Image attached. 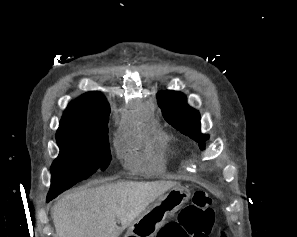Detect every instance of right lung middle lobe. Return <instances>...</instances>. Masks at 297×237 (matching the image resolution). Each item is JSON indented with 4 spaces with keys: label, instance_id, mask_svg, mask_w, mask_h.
Returning <instances> with one entry per match:
<instances>
[{
    "label": "right lung middle lobe",
    "instance_id": "right-lung-middle-lobe-1",
    "mask_svg": "<svg viewBox=\"0 0 297 237\" xmlns=\"http://www.w3.org/2000/svg\"><path fill=\"white\" fill-rule=\"evenodd\" d=\"M56 141L59 156L51 166V188L48 198L86 179L98 168L105 170L111 154L107 126L100 128H59Z\"/></svg>",
    "mask_w": 297,
    "mask_h": 237
}]
</instances>
